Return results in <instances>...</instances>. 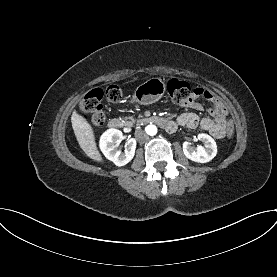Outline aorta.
<instances>
[{
    "label": "aorta",
    "instance_id": "obj_1",
    "mask_svg": "<svg viewBox=\"0 0 277 277\" xmlns=\"http://www.w3.org/2000/svg\"><path fill=\"white\" fill-rule=\"evenodd\" d=\"M145 131L148 135L150 136H154L157 134V127L155 125H148L146 128H145Z\"/></svg>",
    "mask_w": 277,
    "mask_h": 277
}]
</instances>
